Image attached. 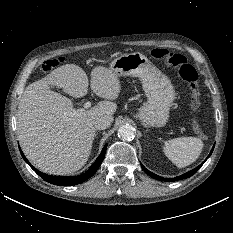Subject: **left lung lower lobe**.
Returning <instances> with one entry per match:
<instances>
[{"label": "left lung lower lobe", "mask_w": 233, "mask_h": 233, "mask_svg": "<svg viewBox=\"0 0 233 233\" xmlns=\"http://www.w3.org/2000/svg\"><path fill=\"white\" fill-rule=\"evenodd\" d=\"M213 149H214V146H213V148H212V150H211L209 156L206 158V160H207V159L210 157V155L212 154ZM206 160H205V161H206ZM205 161H204V162H205ZM204 162H203L201 165H199L198 167L194 168L193 170H191V171H189V172H187V173H185V174H183V175H181V176H179V177H175V178H172V179H165V178H163V177H160V176H158V175H156V174L150 172L149 170H147L142 164H141V166H142L143 170H144L149 176H151V177H153V178H155V179H157V180H160V181L173 182V181H177V180L189 178L190 176H192L193 174H195V173L198 171V169L204 164Z\"/></svg>", "instance_id": "1"}]
</instances>
